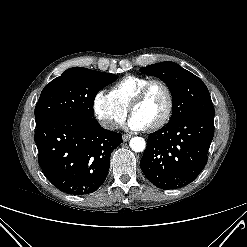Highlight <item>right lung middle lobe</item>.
Instances as JSON below:
<instances>
[{"label":"right lung middle lobe","mask_w":247,"mask_h":247,"mask_svg":"<svg viewBox=\"0 0 247 247\" xmlns=\"http://www.w3.org/2000/svg\"><path fill=\"white\" fill-rule=\"evenodd\" d=\"M117 76L82 67L65 70L44 87L35 107L36 125L56 118L95 119L93 102Z\"/></svg>","instance_id":"right-lung-middle-lobe-1"}]
</instances>
